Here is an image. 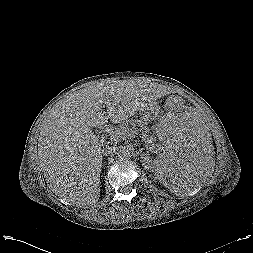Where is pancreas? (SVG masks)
<instances>
[{"mask_svg":"<svg viewBox=\"0 0 253 253\" xmlns=\"http://www.w3.org/2000/svg\"><path fill=\"white\" fill-rule=\"evenodd\" d=\"M133 132L140 133L145 145L149 147L153 142V135L149 132L147 122L142 120H130L109 132V137L114 140H122L130 137ZM149 140L152 142L150 143Z\"/></svg>","mask_w":253,"mask_h":253,"instance_id":"obj_1","label":"pancreas"}]
</instances>
